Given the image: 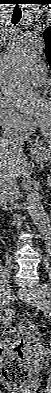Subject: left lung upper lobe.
Instances as JSON below:
<instances>
[{"mask_svg": "<svg viewBox=\"0 0 51 393\" xmlns=\"http://www.w3.org/2000/svg\"><path fill=\"white\" fill-rule=\"evenodd\" d=\"M43 38L46 44V57L51 67V26L44 31Z\"/></svg>", "mask_w": 51, "mask_h": 393, "instance_id": "1", "label": "left lung upper lobe"}]
</instances>
